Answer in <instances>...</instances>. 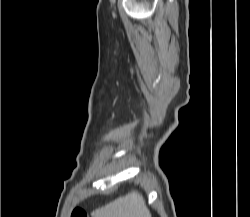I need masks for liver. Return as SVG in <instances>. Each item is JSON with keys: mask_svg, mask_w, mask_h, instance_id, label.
<instances>
[{"mask_svg": "<svg viewBox=\"0 0 250 217\" xmlns=\"http://www.w3.org/2000/svg\"><path fill=\"white\" fill-rule=\"evenodd\" d=\"M91 215L92 217H151L143 196L137 191H131L97 208Z\"/></svg>", "mask_w": 250, "mask_h": 217, "instance_id": "1", "label": "liver"}]
</instances>
